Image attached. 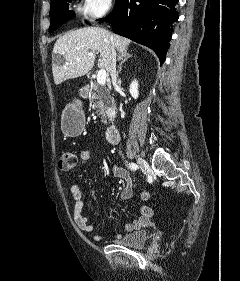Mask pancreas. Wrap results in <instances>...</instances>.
Returning a JSON list of instances; mask_svg holds the SVG:
<instances>
[{"instance_id":"obj_1","label":"pancreas","mask_w":240,"mask_h":281,"mask_svg":"<svg viewBox=\"0 0 240 281\" xmlns=\"http://www.w3.org/2000/svg\"><path fill=\"white\" fill-rule=\"evenodd\" d=\"M90 107L97 108L101 115V121L107 124L108 119L115 113V103L110 96L108 89H99L98 85L94 84L90 88L89 95Z\"/></svg>"}]
</instances>
